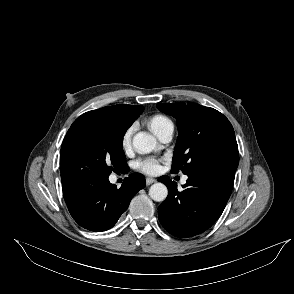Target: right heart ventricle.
Instances as JSON below:
<instances>
[{
	"instance_id": "right-heart-ventricle-1",
	"label": "right heart ventricle",
	"mask_w": 294,
	"mask_h": 294,
	"mask_svg": "<svg viewBox=\"0 0 294 294\" xmlns=\"http://www.w3.org/2000/svg\"><path fill=\"white\" fill-rule=\"evenodd\" d=\"M173 125L170 118L163 114H155L151 116L148 120L149 128L159 136L162 131H164L168 126Z\"/></svg>"
}]
</instances>
